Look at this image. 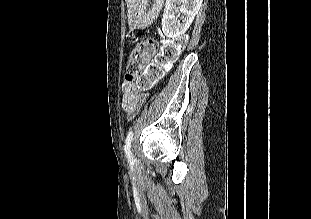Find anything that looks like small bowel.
Instances as JSON below:
<instances>
[{
  "instance_id": "small-bowel-1",
  "label": "small bowel",
  "mask_w": 311,
  "mask_h": 219,
  "mask_svg": "<svg viewBox=\"0 0 311 219\" xmlns=\"http://www.w3.org/2000/svg\"><path fill=\"white\" fill-rule=\"evenodd\" d=\"M122 109L129 115L137 113L141 103L146 97L145 93L138 92L133 88V76L126 75L122 83Z\"/></svg>"
}]
</instances>
